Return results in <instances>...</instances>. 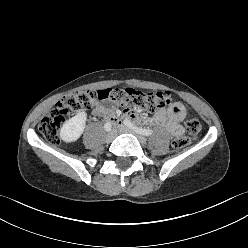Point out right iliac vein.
Listing matches in <instances>:
<instances>
[{
  "label": "right iliac vein",
  "instance_id": "1",
  "mask_svg": "<svg viewBox=\"0 0 248 248\" xmlns=\"http://www.w3.org/2000/svg\"><path fill=\"white\" fill-rule=\"evenodd\" d=\"M115 131L113 130V131H111V132H109V133H107V135L105 136V141L107 142V143H110V142H112L113 141V139L115 138Z\"/></svg>",
  "mask_w": 248,
  "mask_h": 248
}]
</instances>
